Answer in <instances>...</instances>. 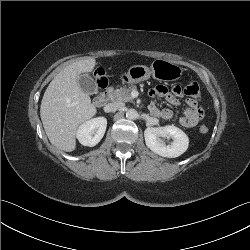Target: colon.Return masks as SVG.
Wrapping results in <instances>:
<instances>
[{
	"mask_svg": "<svg viewBox=\"0 0 250 250\" xmlns=\"http://www.w3.org/2000/svg\"><path fill=\"white\" fill-rule=\"evenodd\" d=\"M94 77H95L97 84L100 87H104L106 85V81H107L106 73L102 68H97L95 70ZM184 93L190 99L197 101L200 98V87L197 83L191 82L185 86ZM208 131H209V129L207 126L202 125L200 127V132L202 134H206Z\"/></svg>",
	"mask_w": 250,
	"mask_h": 250,
	"instance_id": "5ec220e1",
	"label": "colon"
}]
</instances>
